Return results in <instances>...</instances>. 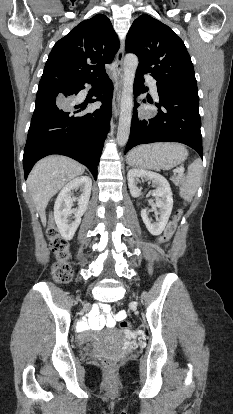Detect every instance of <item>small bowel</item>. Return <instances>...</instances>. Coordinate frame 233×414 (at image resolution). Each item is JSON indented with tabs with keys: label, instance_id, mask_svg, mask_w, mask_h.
I'll list each match as a JSON object with an SVG mask.
<instances>
[{
	"label": "small bowel",
	"instance_id": "small-bowel-1",
	"mask_svg": "<svg viewBox=\"0 0 233 414\" xmlns=\"http://www.w3.org/2000/svg\"><path fill=\"white\" fill-rule=\"evenodd\" d=\"M95 306L90 311L86 320H80L77 323V329L81 332L87 330H100L102 328H112L118 321L125 318V311L121 310L117 313L111 312V306L108 303L96 301Z\"/></svg>",
	"mask_w": 233,
	"mask_h": 414
}]
</instances>
